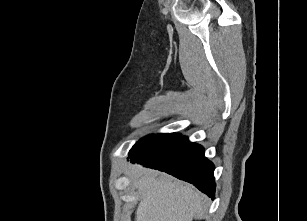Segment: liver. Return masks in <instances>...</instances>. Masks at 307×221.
Wrapping results in <instances>:
<instances>
[{
    "instance_id": "1",
    "label": "liver",
    "mask_w": 307,
    "mask_h": 221,
    "mask_svg": "<svg viewBox=\"0 0 307 221\" xmlns=\"http://www.w3.org/2000/svg\"><path fill=\"white\" fill-rule=\"evenodd\" d=\"M131 176L141 195L135 221H192L203 208L198 191L170 176L138 165Z\"/></svg>"
}]
</instances>
